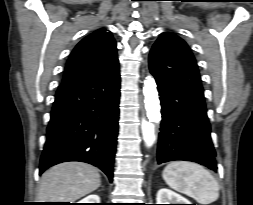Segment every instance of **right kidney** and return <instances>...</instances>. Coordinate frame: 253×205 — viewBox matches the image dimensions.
Segmentation results:
<instances>
[{
    "label": "right kidney",
    "mask_w": 253,
    "mask_h": 205,
    "mask_svg": "<svg viewBox=\"0 0 253 205\" xmlns=\"http://www.w3.org/2000/svg\"><path fill=\"white\" fill-rule=\"evenodd\" d=\"M78 203H100V197L96 194H91L83 198Z\"/></svg>",
    "instance_id": "1"
}]
</instances>
